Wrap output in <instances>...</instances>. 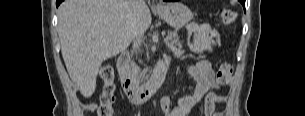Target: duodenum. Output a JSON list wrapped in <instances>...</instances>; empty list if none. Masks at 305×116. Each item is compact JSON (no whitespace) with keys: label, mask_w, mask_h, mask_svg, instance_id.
Instances as JSON below:
<instances>
[{"label":"duodenum","mask_w":305,"mask_h":116,"mask_svg":"<svg viewBox=\"0 0 305 116\" xmlns=\"http://www.w3.org/2000/svg\"><path fill=\"white\" fill-rule=\"evenodd\" d=\"M130 57L121 54L117 59V68L122 89L131 104L140 105L149 100L165 81L169 59L164 58L156 66L150 79L143 85H136L129 75Z\"/></svg>","instance_id":"duodenum-1"}]
</instances>
